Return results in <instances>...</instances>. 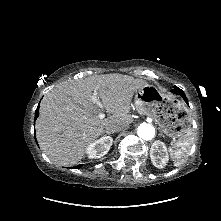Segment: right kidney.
Listing matches in <instances>:
<instances>
[{
  "label": "right kidney",
  "instance_id": "right-kidney-1",
  "mask_svg": "<svg viewBox=\"0 0 221 221\" xmlns=\"http://www.w3.org/2000/svg\"><path fill=\"white\" fill-rule=\"evenodd\" d=\"M113 139L110 136L101 137L90 143L86 149V154L90 159L101 158L109 151Z\"/></svg>",
  "mask_w": 221,
  "mask_h": 221
}]
</instances>
